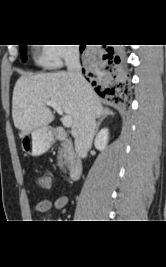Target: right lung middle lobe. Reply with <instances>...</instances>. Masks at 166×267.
I'll use <instances>...</instances> for the list:
<instances>
[{
    "mask_svg": "<svg viewBox=\"0 0 166 267\" xmlns=\"http://www.w3.org/2000/svg\"><path fill=\"white\" fill-rule=\"evenodd\" d=\"M20 53L22 61H26V49L25 45H20Z\"/></svg>",
    "mask_w": 166,
    "mask_h": 267,
    "instance_id": "dd1d6c3e",
    "label": "right lung middle lobe"
}]
</instances>
